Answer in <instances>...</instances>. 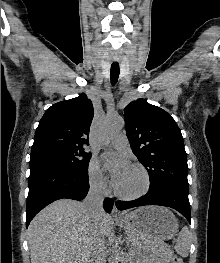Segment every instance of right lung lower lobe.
Returning <instances> with one entry per match:
<instances>
[{
	"label": "right lung lower lobe",
	"mask_w": 220,
	"mask_h": 263,
	"mask_svg": "<svg viewBox=\"0 0 220 263\" xmlns=\"http://www.w3.org/2000/svg\"><path fill=\"white\" fill-rule=\"evenodd\" d=\"M29 193L26 207V227L33 217L55 200L69 198L82 200L89 190L88 170L75 171L57 164L30 162ZM113 200H104V209L110 213Z\"/></svg>",
	"instance_id": "98d812e1"
}]
</instances>
